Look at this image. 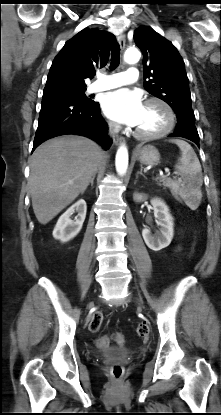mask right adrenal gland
Instances as JSON below:
<instances>
[{"mask_svg":"<svg viewBox=\"0 0 221 415\" xmlns=\"http://www.w3.org/2000/svg\"><path fill=\"white\" fill-rule=\"evenodd\" d=\"M94 179H95V175L90 180V184H91L92 187H93V184H94Z\"/></svg>","mask_w":221,"mask_h":415,"instance_id":"obj_1","label":"right adrenal gland"}]
</instances>
